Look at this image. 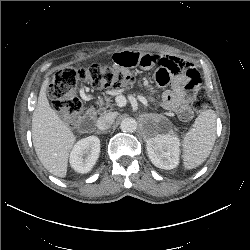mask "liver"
I'll use <instances>...</instances> for the list:
<instances>
[{
  "instance_id": "liver-1",
  "label": "liver",
  "mask_w": 250,
  "mask_h": 250,
  "mask_svg": "<svg viewBox=\"0 0 250 250\" xmlns=\"http://www.w3.org/2000/svg\"><path fill=\"white\" fill-rule=\"evenodd\" d=\"M48 86L49 78H46L32 116V141L42 165L54 176L63 178L76 136L50 107L46 95Z\"/></svg>"
}]
</instances>
